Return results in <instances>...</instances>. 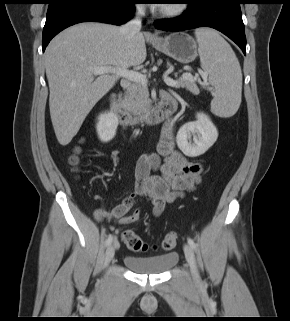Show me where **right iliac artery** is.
I'll return each mask as SVG.
<instances>
[{"label":"right iliac artery","instance_id":"1","mask_svg":"<svg viewBox=\"0 0 290 321\" xmlns=\"http://www.w3.org/2000/svg\"><path fill=\"white\" fill-rule=\"evenodd\" d=\"M113 241V235H109L108 239L106 240V246H109Z\"/></svg>","mask_w":290,"mask_h":321}]
</instances>
